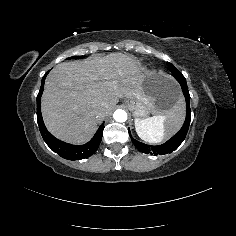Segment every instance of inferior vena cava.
Segmentation results:
<instances>
[{
	"label": "inferior vena cava",
	"instance_id": "1",
	"mask_svg": "<svg viewBox=\"0 0 236 236\" xmlns=\"http://www.w3.org/2000/svg\"><path fill=\"white\" fill-rule=\"evenodd\" d=\"M94 115H96V116H100V110L95 109V111H94Z\"/></svg>",
	"mask_w": 236,
	"mask_h": 236
}]
</instances>
